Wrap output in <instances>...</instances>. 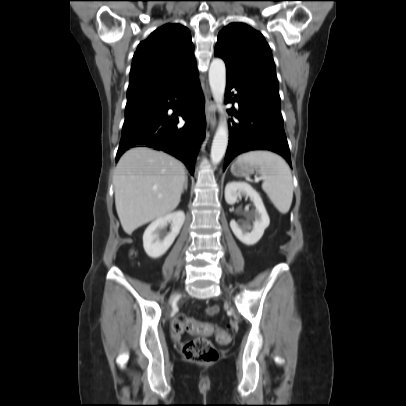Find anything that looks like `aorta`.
Returning <instances> with one entry per match:
<instances>
[{
    "label": "aorta",
    "instance_id": "obj_1",
    "mask_svg": "<svg viewBox=\"0 0 406 406\" xmlns=\"http://www.w3.org/2000/svg\"><path fill=\"white\" fill-rule=\"evenodd\" d=\"M209 84L213 98L218 105L224 102L226 86V67L222 59L212 60L209 68ZM228 145V129L226 122L221 118L211 147V161L214 165L221 162Z\"/></svg>",
    "mask_w": 406,
    "mask_h": 406
}]
</instances>
